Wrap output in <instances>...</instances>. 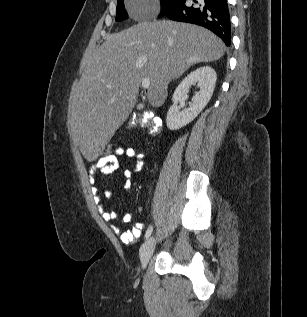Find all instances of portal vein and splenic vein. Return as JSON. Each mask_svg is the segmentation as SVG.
Masks as SVG:
<instances>
[{"label":"portal vein and splenic vein","instance_id":"18ae733b","mask_svg":"<svg viewBox=\"0 0 307 317\" xmlns=\"http://www.w3.org/2000/svg\"><path fill=\"white\" fill-rule=\"evenodd\" d=\"M149 86H150V81H149L148 79H144V80L142 81V87H143L144 89H148Z\"/></svg>","mask_w":307,"mask_h":317}]
</instances>
